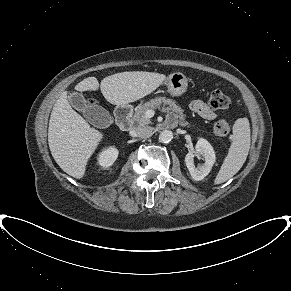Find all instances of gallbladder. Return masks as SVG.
I'll list each match as a JSON object with an SVG mask.
<instances>
[{
  "instance_id": "obj_1",
  "label": "gallbladder",
  "mask_w": 291,
  "mask_h": 291,
  "mask_svg": "<svg viewBox=\"0 0 291 291\" xmlns=\"http://www.w3.org/2000/svg\"><path fill=\"white\" fill-rule=\"evenodd\" d=\"M69 101L93 126L105 128L112 124L113 118L110 113L98 104H89L82 94L72 92L69 95Z\"/></svg>"
}]
</instances>
